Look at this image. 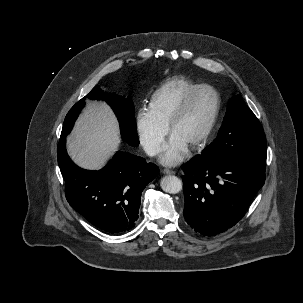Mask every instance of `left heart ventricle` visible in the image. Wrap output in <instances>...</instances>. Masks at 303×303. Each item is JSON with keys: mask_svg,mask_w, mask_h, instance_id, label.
Instances as JSON below:
<instances>
[{"mask_svg": "<svg viewBox=\"0 0 303 303\" xmlns=\"http://www.w3.org/2000/svg\"><path fill=\"white\" fill-rule=\"evenodd\" d=\"M216 105L212 91L203 89L192 99L187 111L176 124L172 133L190 146L207 127Z\"/></svg>", "mask_w": 303, "mask_h": 303, "instance_id": "b2bd125f", "label": "left heart ventricle"}]
</instances>
